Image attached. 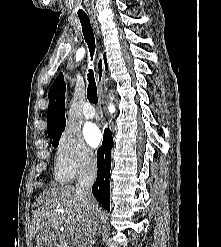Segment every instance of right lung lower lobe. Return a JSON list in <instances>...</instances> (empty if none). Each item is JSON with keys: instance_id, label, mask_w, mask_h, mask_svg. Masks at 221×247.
Here are the masks:
<instances>
[{"instance_id": "right-lung-lower-lobe-1", "label": "right lung lower lobe", "mask_w": 221, "mask_h": 247, "mask_svg": "<svg viewBox=\"0 0 221 247\" xmlns=\"http://www.w3.org/2000/svg\"><path fill=\"white\" fill-rule=\"evenodd\" d=\"M113 138L111 131L106 129L104 132L102 146L97 151V179L92 186V193L102 206L109 211L110 209V168H111V149Z\"/></svg>"}]
</instances>
